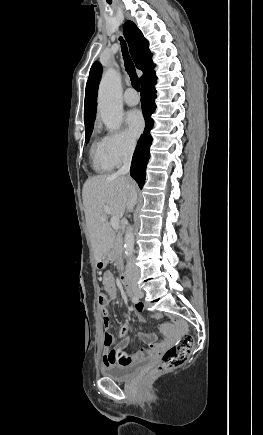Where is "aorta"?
I'll return each mask as SVG.
<instances>
[{"label": "aorta", "instance_id": "aorta-1", "mask_svg": "<svg viewBox=\"0 0 263 435\" xmlns=\"http://www.w3.org/2000/svg\"><path fill=\"white\" fill-rule=\"evenodd\" d=\"M121 80L114 70H108L102 77L98 91V109L103 123L110 131L120 128L123 120V105L121 99ZM134 251L133 227L129 226L124 236V253L127 259Z\"/></svg>", "mask_w": 263, "mask_h": 435}]
</instances>
